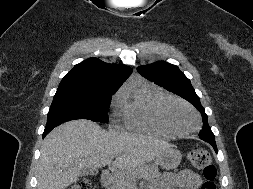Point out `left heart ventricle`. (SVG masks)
I'll use <instances>...</instances> for the list:
<instances>
[{
    "label": "left heart ventricle",
    "instance_id": "obj_1",
    "mask_svg": "<svg viewBox=\"0 0 253 189\" xmlns=\"http://www.w3.org/2000/svg\"><path fill=\"white\" fill-rule=\"evenodd\" d=\"M166 113L172 124L180 130L192 129L196 125L193 114L187 108L181 105H168Z\"/></svg>",
    "mask_w": 253,
    "mask_h": 189
}]
</instances>
